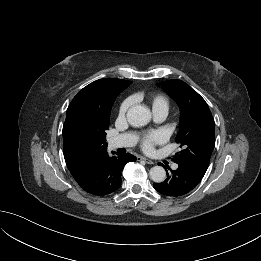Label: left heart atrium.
<instances>
[{
	"instance_id": "obj_1",
	"label": "left heart atrium",
	"mask_w": 261,
	"mask_h": 261,
	"mask_svg": "<svg viewBox=\"0 0 261 261\" xmlns=\"http://www.w3.org/2000/svg\"><path fill=\"white\" fill-rule=\"evenodd\" d=\"M165 140V136L160 131H151L148 133H145L141 138V148L146 151L150 152L152 151L153 147L157 144L163 143Z\"/></svg>"
}]
</instances>
